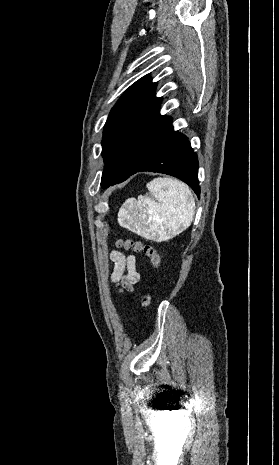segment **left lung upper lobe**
Masks as SVG:
<instances>
[{
    "label": "left lung upper lobe",
    "instance_id": "5c2ea615",
    "mask_svg": "<svg viewBox=\"0 0 279 465\" xmlns=\"http://www.w3.org/2000/svg\"><path fill=\"white\" fill-rule=\"evenodd\" d=\"M155 88L149 77L139 79L109 114L102 141L103 188L126 180L173 132L172 118L159 113L161 98L155 97Z\"/></svg>",
    "mask_w": 279,
    "mask_h": 465
}]
</instances>
